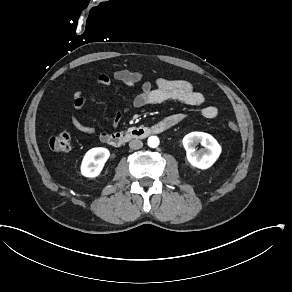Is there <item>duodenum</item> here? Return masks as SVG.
Listing matches in <instances>:
<instances>
[{
	"label": "duodenum",
	"instance_id": "duodenum-1",
	"mask_svg": "<svg viewBox=\"0 0 292 292\" xmlns=\"http://www.w3.org/2000/svg\"><path fill=\"white\" fill-rule=\"evenodd\" d=\"M162 126L156 124L151 127L144 128H136L126 132L109 134L107 137V142L113 147H121L125 142L131 139H143L151 134L164 132L166 130H162Z\"/></svg>",
	"mask_w": 292,
	"mask_h": 292
}]
</instances>
